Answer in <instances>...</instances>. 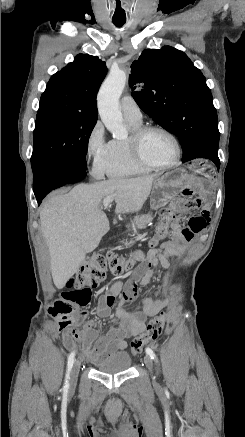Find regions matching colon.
<instances>
[{
	"instance_id": "colon-1",
	"label": "colon",
	"mask_w": 245,
	"mask_h": 437,
	"mask_svg": "<svg viewBox=\"0 0 245 437\" xmlns=\"http://www.w3.org/2000/svg\"><path fill=\"white\" fill-rule=\"evenodd\" d=\"M159 217L160 221L156 227L155 236L149 242L152 248L169 237V223L176 217L175 207L173 205L162 207L159 211ZM134 260L123 258L111 251H99L92 254L81 265L80 269L67 282V290L50 307V313L57 320L63 334L76 339L83 336L84 328H80V324L87 317L84 308L91 302L92 288L104 280L107 270L114 275H122L133 267ZM165 324L166 315L161 312L149 323L142 334L133 339L131 342L132 352L138 354L145 344L155 341L164 330Z\"/></svg>"
}]
</instances>
